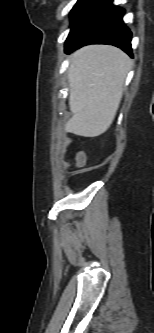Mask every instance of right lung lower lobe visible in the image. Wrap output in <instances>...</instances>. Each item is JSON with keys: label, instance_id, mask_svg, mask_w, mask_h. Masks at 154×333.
Wrapping results in <instances>:
<instances>
[{"label": "right lung lower lobe", "instance_id": "1", "mask_svg": "<svg viewBox=\"0 0 154 333\" xmlns=\"http://www.w3.org/2000/svg\"><path fill=\"white\" fill-rule=\"evenodd\" d=\"M112 1L103 0L87 21L68 36L67 53L88 44H110L132 56L131 32L122 21L125 11Z\"/></svg>", "mask_w": 154, "mask_h": 333}]
</instances>
